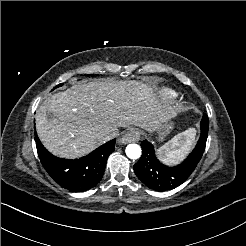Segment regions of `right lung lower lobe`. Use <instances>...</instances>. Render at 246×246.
<instances>
[{
	"label": "right lung lower lobe",
	"mask_w": 246,
	"mask_h": 246,
	"mask_svg": "<svg viewBox=\"0 0 246 246\" xmlns=\"http://www.w3.org/2000/svg\"><path fill=\"white\" fill-rule=\"evenodd\" d=\"M40 161L49 175L62 187L83 192L94 187L102 178L107 158L115 150V139L103 144L80 159L68 160L49 153L35 134Z\"/></svg>",
	"instance_id": "1"
}]
</instances>
